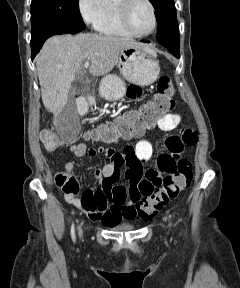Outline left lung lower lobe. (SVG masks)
I'll return each mask as SVG.
<instances>
[{
    "mask_svg": "<svg viewBox=\"0 0 240 288\" xmlns=\"http://www.w3.org/2000/svg\"><path fill=\"white\" fill-rule=\"evenodd\" d=\"M159 43L161 45H163L164 47H166L168 50H170L174 56L179 57V44L180 41H159Z\"/></svg>",
    "mask_w": 240,
    "mask_h": 288,
    "instance_id": "1",
    "label": "left lung lower lobe"
}]
</instances>
